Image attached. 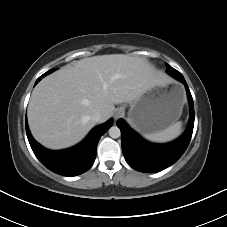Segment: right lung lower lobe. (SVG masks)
<instances>
[{"mask_svg": "<svg viewBox=\"0 0 227 227\" xmlns=\"http://www.w3.org/2000/svg\"><path fill=\"white\" fill-rule=\"evenodd\" d=\"M44 77L40 76L36 83ZM110 119L91 130L88 136L78 145L60 151L42 147L32 137L26 118V133L30 146L39 161L49 170L63 176H77L89 170L96 158V149L100 137L112 126Z\"/></svg>", "mask_w": 227, "mask_h": 227, "instance_id": "1", "label": "right lung lower lobe"}]
</instances>
